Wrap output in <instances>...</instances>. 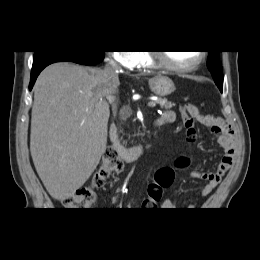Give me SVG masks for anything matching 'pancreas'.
<instances>
[{
    "label": "pancreas",
    "mask_w": 260,
    "mask_h": 260,
    "mask_svg": "<svg viewBox=\"0 0 260 260\" xmlns=\"http://www.w3.org/2000/svg\"><path fill=\"white\" fill-rule=\"evenodd\" d=\"M156 102L160 105L162 109H171L175 104L167 101V99H158ZM131 115V110L129 107H124L121 111V119L126 120Z\"/></svg>",
    "instance_id": "1"
}]
</instances>
